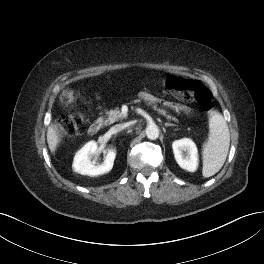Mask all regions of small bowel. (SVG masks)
Listing matches in <instances>:
<instances>
[{"instance_id":"1","label":"small bowel","mask_w":264,"mask_h":264,"mask_svg":"<svg viewBox=\"0 0 264 264\" xmlns=\"http://www.w3.org/2000/svg\"><path fill=\"white\" fill-rule=\"evenodd\" d=\"M141 96L150 101V102H155V103H161L163 104L165 107L173 109L175 111H180V112H189V108L185 105H181V104H176L173 102H168V101H163L160 100L159 98L155 97L154 95L148 93V92H141Z\"/></svg>"}]
</instances>
